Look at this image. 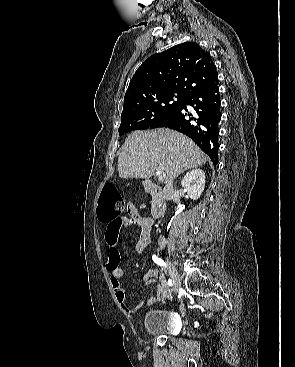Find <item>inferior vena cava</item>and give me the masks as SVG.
Instances as JSON below:
<instances>
[{
	"label": "inferior vena cava",
	"instance_id": "inferior-vena-cava-1",
	"mask_svg": "<svg viewBox=\"0 0 295 367\" xmlns=\"http://www.w3.org/2000/svg\"><path fill=\"white\" fill-rule=\"evenodd\" d=\"M163 194H164V198L166 200H170L173 194V180H170L169 182L166 183V186L163 189ZM159 244L160 245H164L165 244V239L163 237L160 238L159 240Z\"/></svg>",
	"mask_w": 295,
	"mask_h": 367
}]
</instances>
